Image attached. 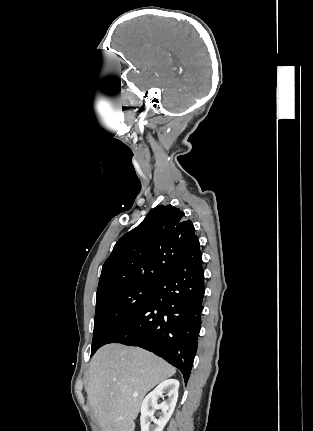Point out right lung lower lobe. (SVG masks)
<instances>
[{
    "label": "right lung lower lobe",
    "instance_id": "right-lung-lower-lobe-1",
    "mask_svg": "<svg viewBox=\"0 0 313 431\" xmlns=\"http://www.w3.org/2000/svg\"><path fill=\"white\" fill-rule=\"evenodd\" d=\"M204 271L198 238L148 300L105 344L139 346L178 368L187 383L201 327Z\"/></svg>",
    "mask_w": 313,
    "mask_h": 431
}]
</instances>
